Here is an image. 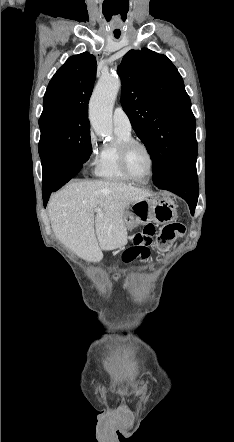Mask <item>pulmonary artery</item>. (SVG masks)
<instances>
[{"label": "pulmonary artery", "instance_id": "1", "mask_svg": "<svg viewBox=\"0 0 234 442\" xmlns=\"http://www.w3.org/2000/svg\"><path fill=\"white\" fill-rule=\"evenodd\" d=\"M113 125L116 130L131 133L132 126L130 119L121 106H117L113 112Z\"/></svg>", "mask_w": 234, "mask_h": 442}]
</instances>
